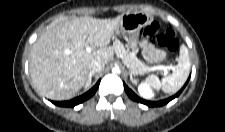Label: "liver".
<instances>
[{
	"label": "liver",
	"instance_id": "6515ba94",
	"mask_svg": "<svg viewBox=\"0 0 225 132\" xmlns=\"http://www.w3.org/2000/svg\"><path fill=\"white\" fill-rule=\"evenodd\" d=\"M122 18L123 14L113 19L79 17L43 33L30 53L36 89L51 100L71 99L86 83L93 60L107 64L113 59L114 51L108 45ZM88 45L96 50L86 52Z\"/></svg>",
	"mask_w": 225,
	"mask_h": 132
}]
</instances>
